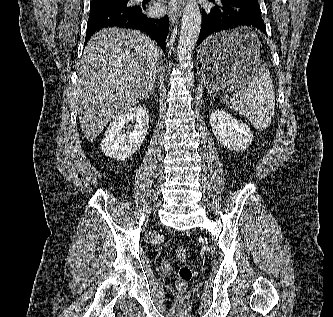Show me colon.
<instances>
[{
  "mask_svg": "<svg viewBox=\"0 0 333 317\" xmlns=\"http://www.w3.org/2000/svg\"><path fill=\"white\" fill-rule=\"evenodd\" d=\"M175 254L180 263L176 287L180 291H185L193 278V269L187 262V250L183 245L175 248Z\"/></svg>",
  "mask_w": 333,
  "mask_h": 317,
  "instance_id": "obj_1",
  "label": "colon"
}]
</instances>
